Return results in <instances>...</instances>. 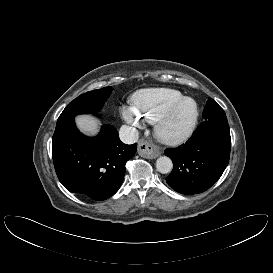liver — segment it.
<instances>
[{
	"instance_id": "liver-1",
	"label": "liver",
	"mask_w": 273,
	"mask_h": 273,
	"mask_svg": "<svg viewBox=\"0 0 273 273\" xmlns=\"http://www.w3.org/2000/svg\"><path fill=\"white\" fill-rule=\"evenodd\" d=\"M79 129L87 134H96L98 132V122L89 115H81L76 118Z\"/></svg>"
}]
</instances>
